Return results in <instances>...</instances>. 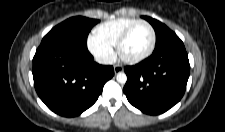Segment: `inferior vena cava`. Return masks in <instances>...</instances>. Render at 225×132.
<instances>
[{"instance_id": "inferior-vena-cava-1", "label": "inferior vena cava", "mask_w": 225, "mask_h": 132, "mask_svg": "<svg viewBox=\"0 0 225 132\" xmlns=\"http://www.w3.org/2000/svg\"><path fill=\"white\" fill-rule=\"evenodd\" d=\"M96 61L100 64H105V65H108V64H113L115 63L116 61V58L115 57H99L96 59Z\"/></svg>"}]
</instances>
